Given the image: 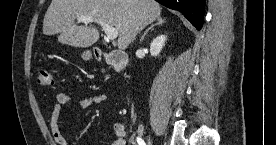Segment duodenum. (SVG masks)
Here are the masks:
<instances>
[{
    "label": "duodenum",
    "instance_id": "duodenum-1",
    "mask_svg": "<svg viewBox=\"0 0 276 145\" xmlns=\"http://www.w3.org/2000/svg\"><path fill=\"white\" fill-rule=\"evenodd\" d=\"M97 55L117 72L123 71L127 67L128 56L122 50L115 49L107 52L98 50Z\"/></svg>",
    "mask_w": 276,
    "mask_h": 145
}]
</instances>
